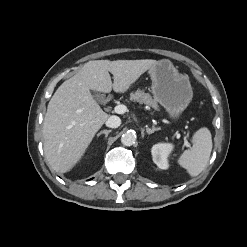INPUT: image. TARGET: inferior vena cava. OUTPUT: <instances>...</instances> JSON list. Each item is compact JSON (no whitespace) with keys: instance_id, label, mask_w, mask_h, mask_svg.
<instances>
[{"instance_id":"1","label":"inferior vena cava","mask_w":247,"mask_h":247,"mask_svg":"<svg viewBox=\"0 0 247 247\" xmlns=\"http://www.w3.org/2000/svg\"><path fill=\"white\" fill-rule=\"evenodd\" d=\"M121 124V119L118 116L112 115L106 121V126L110 128H118Z\"/></svg>"}]
</instances>
